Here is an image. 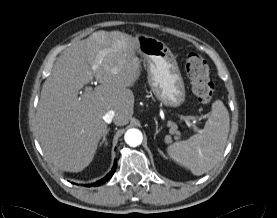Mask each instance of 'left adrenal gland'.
Segmentation results:
<instances>
[{"instance_id": "left-adrenal-gland-1", "label": "left adrenal gland", "mask_w": 277, "mask_h": 218, "mask_svg": "<svg viewBox=\"0 0 277 218\" xmlns=\"http://www.w3.org/2000/svg\"><path fill=\"white\" fill-rule=\"evenodd\" d=\"M155 120V124H156V131H155V134H154V138H156L157 134L161 131V128L158 129V122L156 119ZM159 152L162 154V152L159 150Z\"/></svg>"}]
</instances>
